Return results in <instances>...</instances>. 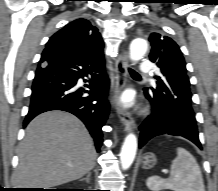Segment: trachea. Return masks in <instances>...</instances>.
Here are the masks:
<instances>
[{"label":"trachea","mask_w":218,"mask_h":191,"mask_svg":"<svg viewBox=\"0 0 218 191\" xmlns=\"http://www.w3.org/2000/svg\"><path fill=\"white\" fill-rule=\"evenodd\" d=\"M128 70L132 76L140 78L139 74L137 72H135L133 69L129 68Z\"/></svg>","instance_id":"trachea-1"}]
</instances>
